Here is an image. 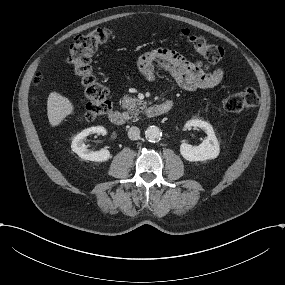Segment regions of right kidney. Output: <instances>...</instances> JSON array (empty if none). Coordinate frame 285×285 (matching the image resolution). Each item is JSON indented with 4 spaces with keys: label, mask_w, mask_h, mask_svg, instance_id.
Wrapping results in <instances>:
<instances>
[{
    "label": "right kidney",
    "mask_w": 285,
    "mask_h": 285,
    "mask_svg": "<svg viewBox=\"0 0 285 285\" xmlns=\"http://www.w3.org/2000/svg\"><path fill=\"white\" fill-rule=\"evenodd\" d=\"M103 134L105 130L103 127H91L83 130L79 134H77L71 144V149L74 153H76L80 158L93 161V162H105L111 159V154L108 150L103 149L99 151H92L87 148L85 145L84 139L89 136V134Z\"/></svg>",
    "instance_id": "ca27d5eb"
}]
</instances>
